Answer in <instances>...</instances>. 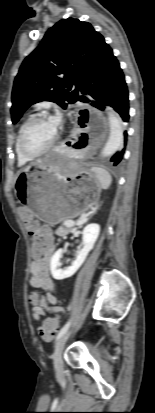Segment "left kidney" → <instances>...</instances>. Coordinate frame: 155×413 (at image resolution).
<instances>
[{
    "instance_id": "5707ae66",
    "label": "left kidney",
    "mask_w": 155,
    "mask_h": 413,
    "mask_svg": "<svg viewBox=\"0 0 155 413\" xmlns=\"http://www.w3.org/2000/svg\"><path fill=\"white\" fill-rule=\"evenodd\" d=\"M100 226L98 224L92 223L88 224L82 232L83 248L78 253L76 259L73 261L72 265L67 267L65 270L60 269V258L62 257L63 250H57L51 258L50 270L54 279L63 280L71 277L76 273V271L84 263L88 253L93 249L94 244L99 236Z\"/></svg>"
}]
</instances>
